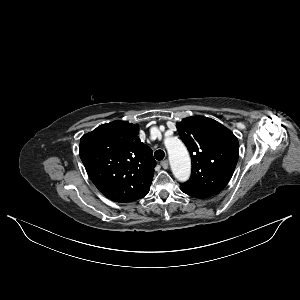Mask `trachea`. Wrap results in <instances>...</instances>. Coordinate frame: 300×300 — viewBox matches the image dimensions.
<instances>
[{"label":"trachea","mask_w":300,"mask_h":300,"mask_svg":"<svg viewBox=\"0 0 300 300\" xmlns=\"http://www.w3.org/2000/svg\"><path fill=\"white\" fill-rule=\"evenodd\" d=\"M154 157L156 158V160L161 161V160L164 159L165 153H164L163 150H157V151L154 153Z\"/></svg>","instance_id":"trachea-1"}]
</instances>
